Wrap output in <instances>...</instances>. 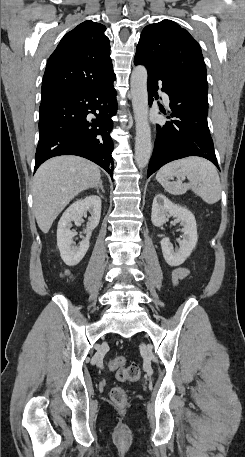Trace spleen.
Instances as JSON below:
<instances>
[{
  "instance_id": "obj_1",
  "label": "spleen",
  "mask_w": 245,
  "mask_h": 457,
  "mask_svg": "<svg viewBox=\"0 0 245 457\" xmlns=\"http://www.w3.org/2000/svg\"><path fill=\"white\" fill-rule=\"evenodd\" d=\"M187 176L189 182H170L169 176ZM156 178L170 194H184L186 190H193L208 204H214L221 198L220 176L213 162L202 156H186L179 160H172L162 166Z\"/></svg>"
}]
</instances>
